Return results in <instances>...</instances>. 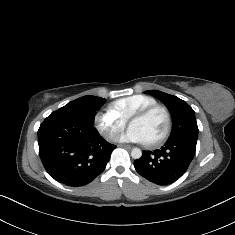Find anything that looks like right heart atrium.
Wrapping results in <instances>:
<instances>
[{
  "label": "right heart atrium",
  "instance_id": "1",
  "mask_svg": "<svg viewBox=\"0 0 235 235\" xmlns=\"http://www.w3.org/2000/svg\"><path fill=\"white\" fill-rule=\"evenodd\" d=\"M93 124L104 138L109 139L115 132L126 127L127 119L116 114L111 105H108L93 115Z\"/></svg>",
  "mask_w": 235,
  "mask_h": 235
}]
</instances>
